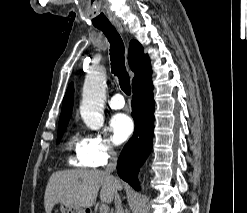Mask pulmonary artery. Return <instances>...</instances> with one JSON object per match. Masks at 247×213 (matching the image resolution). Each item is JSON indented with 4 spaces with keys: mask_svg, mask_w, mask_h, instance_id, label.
Here are the masks:
<instances>
[{
    "mask_svg": "<svg viewBox=\"0 0 247 213\" xmlns=\"http://www.w3.org/2000/svg\"><path fill=\"white\" fill-rule=\"evenodd\" d=\"M111 109L118 110L125 106V100L121 94L114 95L108 102Z\"/></svg>",
    "mask_w": 247,
    "mask_h": 213,
    "instance_id": "e3ab8cb5",
    "label": "pulmonary artery"
}]
</instances>
